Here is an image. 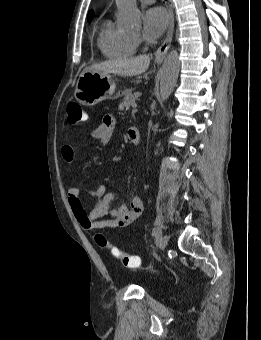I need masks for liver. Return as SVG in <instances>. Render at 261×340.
<instances>
[{"mask_svg":"<svg viewBox=\"0 0 261 340\" xmlns=\"http://www.w3.org/2000/svg\"><path fill=\"white\" fill-rule=\"evenodd\" d=\"M150 64L148 55H141L129 59L107 60L98 64H93L87 70L102 72L107 74H117L120 76H136L144 73Z\"/></svg>","mask_w":261,"mask_h":340,"instance_id":"obj_1","label":"liver"}]
</instances>
